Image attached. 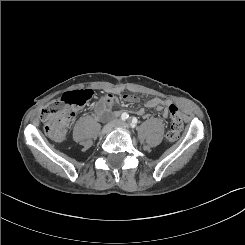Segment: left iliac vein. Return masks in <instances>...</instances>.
Listing matches in <instances>:
<instances>
[{
	"instance_id": "left-iliac-vein-1",
	"label": "left iliac vein",
	"mask_w": 245,
	"mask_h": 245,
	"mask_svg": "<svg viewBox=\"0 0 245 245\" xmlns=\"http://www.w3.org/2000/svg\"><path fill=\"white\" fill-rule=\"evenodd\" d=\"M118 127L123 128V129H126V128H128V125H127V123L122 122V123H120V124L118 125Z\"/></svg>"
}]
</instances>
